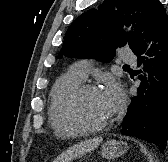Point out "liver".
<instances>
[{"label":"liver","instance_id":"liver-1","mask_svg":"<svg viewBox=\"0 0 168 162\" xmlns=\"http://www.w3.org/2000/svg\"><path fill=\"white\" fill-rule=\"evenodd\" d=\"M102 142V138H95L80 142L60 154L53 162H70L71 160L95 150Z\"/></svg>","mask_w":168,"mask_h":162}]
</instances>
